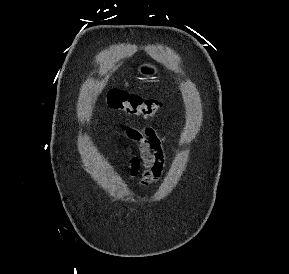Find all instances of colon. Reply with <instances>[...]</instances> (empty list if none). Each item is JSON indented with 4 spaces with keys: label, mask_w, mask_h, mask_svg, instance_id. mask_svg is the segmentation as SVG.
Masks as SVG:
<instances>
[{
    "label": "colon",
    "mask_w": 289,
    "mask_h": 274,
    "mask_svg": "<svg viewBox=\"0 0 289 274\" xmlns=\"http://www.w3.org/2000/svg\"><path fill=\"white\" fill-rule=\"evenodd\" d=\"M105 99L113 109L144 118L153 117L163 106L160 100L143 98L117 89L108 91Z\"/></svg>",
    "instance_id": "obj_1"
}]
</instances>
